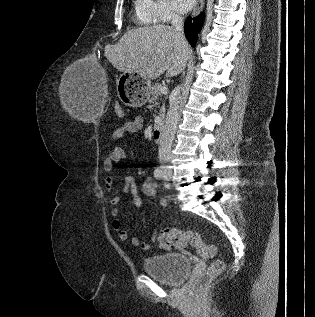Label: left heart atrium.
<instances>
[{"label":"left heart atrium","instance_id":"left-heart-atrium-1","mask_svg":"<svg viewBox=\"0 0 315 317\" xmlns=\"http://www.w3.org/2000/svg\"><path fill=\"white\" fill-rule=\"evenodd\" d=\"M196 0H171L173 9L179 13H186L192 9Z\"/></svg>","mask_w":315,"mask_h":317}]
</instances>
